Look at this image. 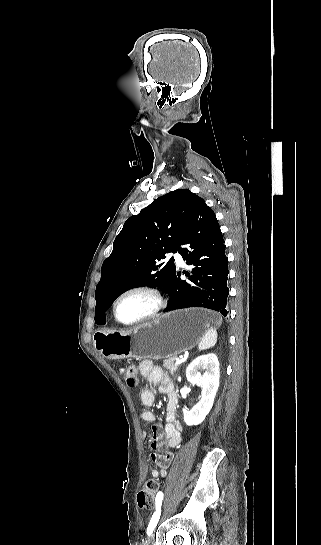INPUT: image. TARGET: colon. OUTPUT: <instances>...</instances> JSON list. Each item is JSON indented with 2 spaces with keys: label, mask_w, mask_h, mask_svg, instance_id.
Masks as SVG:
<instances>
[{
  "label": "colon",
  "mask_w": 321,
  "mask_h": 545,
  "mask_svg": "<svg viewBox=\"0 0 321 545\" xmlns=\"http://www.w3.org/2000/svg\"><path fill=\"white\" fill-rule=\"evenodd\" d=\"M121 372L126 380V383L130 387H134L137 384L136 369L133 364H125L121 367ZM159 493V484L156 481L147 482L142 489L138 492L137 503L140 508L152 509L156 501L157 494Z\"/></svg>",
  "instance_id": "1"
}]
</instances>
